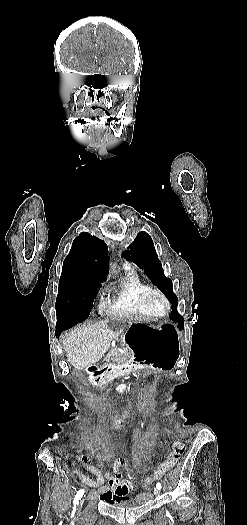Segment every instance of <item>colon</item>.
I'll use <instances>...</instances> for the list:
<instances>
[{"instance_id": "5ec220e1", "label": "colon", "mask_w": 247, "mask_h": 525, "mask_svg": "<svg viewBox=\"0 0 247 525\" xmlns=\"http://www.w3.org/2000/svg\"><path fill=\"white\" fill-rule=\"evenodd\" d=\"M99 424H104L105 426L109 427H119V430H124L125 426V431H130L133 430V427L130 426H134L135 424H137V421H135L134 419L109 418L105 419L104 421H99Z\"/></svg>"}]
</instances>
